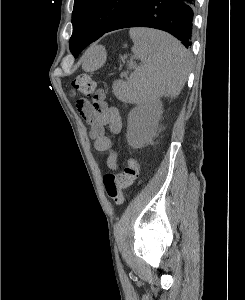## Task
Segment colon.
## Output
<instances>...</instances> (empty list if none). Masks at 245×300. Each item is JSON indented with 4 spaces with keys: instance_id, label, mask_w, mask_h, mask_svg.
<instances>
[{
    "instance_id": "obj_1",
    "label": "colon",
    "mask_w": 245,
    "mask_h": 300,
    "mask_svg": "<svg viewBox=\"0 0 245 300\" xmlns=\"http://www.w3.org/2000/svg\"><path fill=\"white\" fill-rule=\"evenodd\" d=\"M75 92L90 95L94 92L96 83L88 74H79L72 83ZM139 166L135 159H128L124 170L118 174H107L104 177L106 194L118 205L124 202V190L137 179Z\"/></svg>"
}]
</instances>
